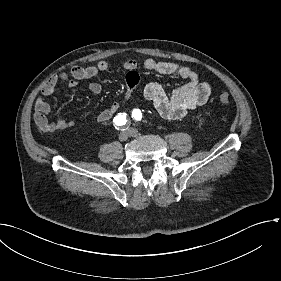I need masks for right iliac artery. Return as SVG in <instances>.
<instances>
[{
  "label": "right iliac artery",
  "instance_id": "1",
  "mask_svg": "<svg viewBox=\"0 0 281 281\" xmlns=\"http://www.w3.org/2000/svg\"><path fill=\"white\" fill-rule=\"evenodd\" d=\"M113 123L117 130H125L128 127L129 119L126 113H119L117 116L114 117Z\"/></svg>",
  "mask_w": 281,
  "mask_h": 281
}]
</instances>
